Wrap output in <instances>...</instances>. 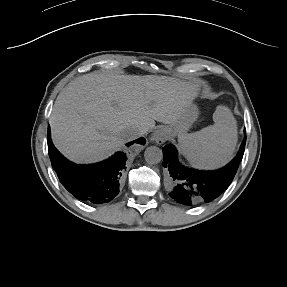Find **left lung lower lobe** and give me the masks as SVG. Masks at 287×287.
I'll return each mask as SVG.
<instances>
[{"label": "left lung lower lobe", "mask_w": 287, "mask_h": 287, "mask_svg": "<svg viewBox=\"0 0 287 287\" xmlns=\"http://www.w3.org/2000/svg\"><path fill=\"white\" fill-rule=\"evenodd\" d=\"M246 137L237 156L216 171L201 172L183 167L177 160L173 145L163 149V166L168 169V191L175 201L184 205H197L217 198L232 182L243 158Z\"/></svg>", "instance_id": "left-lung-lower-lobe-1"}]
</instances>
